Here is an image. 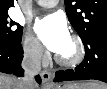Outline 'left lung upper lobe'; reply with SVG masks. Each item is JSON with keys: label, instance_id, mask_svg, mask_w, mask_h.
Returning a JSON list of instances; mask_svg holds the SVG:
<instances>
[{"label": "left lung upper lobe", "instance_id": "5c2ea615", "mask_svg": "<svg viewBox=\"0 0 107 89\" xmlns=\"http://www.w3.org/2000/svg\"><path fill=\"white\" fill-rule=\"evenodd\" d=\"M70 23L82 41L94 32L107 30V0H65Z\"/></svg>", "mask_w": 107, "mask_h": 89}]
</instances>
